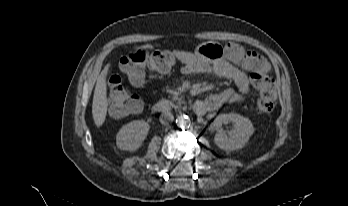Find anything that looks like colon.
<instances>
[{"instance_id": "obj_1", "label": "colon", "mask_w": 348, "mask_h": 206, "mask_svg": "<svg viewBox=\"0 0 348 206\" xmlns=\"http://www.w3.org/2000/svg\"><path fill=\"white\" fill-rule=\"evenodd\" d=\"M176 58V54L168 50L135 49L121 59L120 67L128 79L139 86L144 83L147 70L160 74L168 73L174 66ZM251 82L259 93L257 111L271 112L275 101L274 79L261 72H254L251 74ZM108 93L110 110L116 116L137 113L142 109V101L124 87L117 75L110 77Z\"/></svg>"}]
</instances>
